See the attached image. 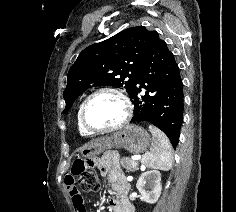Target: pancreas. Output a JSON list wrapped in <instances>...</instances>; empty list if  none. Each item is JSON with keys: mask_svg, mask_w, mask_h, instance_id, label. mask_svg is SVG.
Instances as JSON below:
<instances>
[{"mask_svg": "<svg viewBox=\"0 0 236 212\" xmlns=\"http://www.w3.org/2000/svg\"><path fill=\"white\" fill-rule=\"evenodd\" d=\"M121 165L126 169L127 172L134 171L138 168V162L134 161L128 157H124L121 159Z\"/></svg>", "mask_w": 236, "mask_h": 212, "instance_id": "obj_1", "label": "pancreas"}]
</instances>
